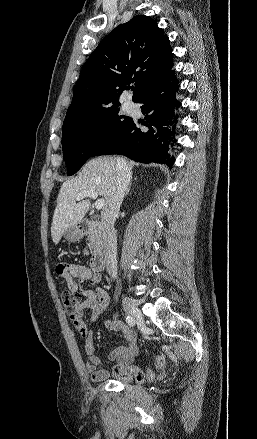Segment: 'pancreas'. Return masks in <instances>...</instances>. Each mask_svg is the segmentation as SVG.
Here are the masks:
<instances>
[{"instance_id": "cf45deb5", "label": "pancreas", "mask_w": 257, "mask_h": 439, "mask_svg": "<svg viewBox=\"0 0 257 439\" xmlns=\"http://www.w3.org/2000/svg\"><path fill=\"white\" fill-rule=\"evenodd\" d=\"M87 240L89 241L88 246H89L90 248H93V244H92V234L88 236V239H87Z\"/></svg>"}]
</instances>
